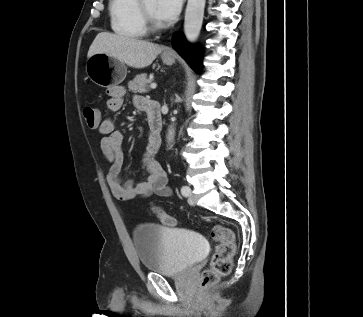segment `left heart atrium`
<instances>
[{"label": "left heart atrium", "instance_id": "left-heart-atrium-1", "mask_svg": "<svg viewBox=\"0 0 363 317\" xmlns=\"http://www.w3.org/2000/svg\"><path fill=\"white\" fill-rule=\"evenodd\" d=\"M183 0H156V13L160 21L172 22L180 12Z\"/></svg>", "mask_w": 363, "mask_h": 317}]
</instances>
